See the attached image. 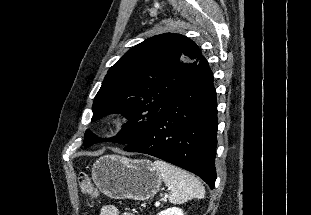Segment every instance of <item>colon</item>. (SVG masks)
<instances>
[{
	"label": "colon",
	"instance_id": "obj_1",
	"mask_svg": "<svg viewBox=\"0 0 311 215\" xmlns=\"http://www.w3.org/2000/svg\"><path fill=\"white\" fill-rule=\"evenodd\" d=\"M78 182L84 194L90 196L93 199L98 196L97 189L92 185L91 180L86 173L79 174Z\"/></svg>",
	"mask_w": 311,
	"mask_h": 215
}]
</instances>
